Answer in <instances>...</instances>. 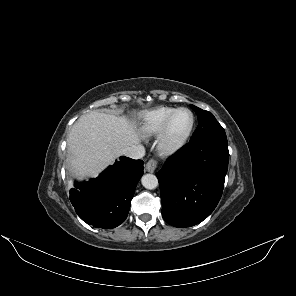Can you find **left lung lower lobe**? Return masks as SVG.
I'll return each instance as SVG.
<instances>
[{"instance_id":"left-lung-lower-lobe-1","label":"left lung lower lobe","mask_w":296,"mask_h":296,"mask_svg":"<svg viewBox=\"0 0 296 296\" xmlns=\"http://www.w3.org/2000/svg\"><path fill=\"white\" fill-rule=\"evenodd\" d=\"M228 159L227 138L219 136L189 143L166 161L156 176L167 223L189 227L213 212L224 188Z\"/></svg>"}]
</instances>
